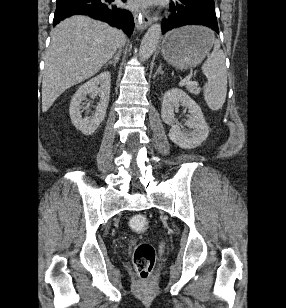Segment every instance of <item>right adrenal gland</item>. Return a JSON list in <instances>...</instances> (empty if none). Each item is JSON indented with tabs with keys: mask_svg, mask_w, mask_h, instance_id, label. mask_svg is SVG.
<instances>
[{
	"mask_svg": "<svg viewBox=\"0 0 286 308\" xmlns=\"http://www.w3.org/2000/svg\"><path fill=\"white\" fill-rule=\"evenodd\" d=\"M121 57V52L119 51L113 58V60L109 61L108 63L105 64V66L111 65L113 64L114 66H116V64L119 62Z\"/></svg>",
	"mask_w": 286,
	"mask_h": 308,
	"instance_id": "right-adrenal-gland-1",
	"label": "right adrenal gland"
}]
</instances>
